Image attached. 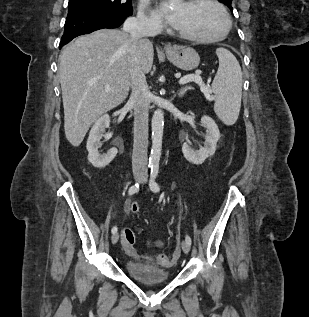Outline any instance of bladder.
<instances>
[{
	"instance_id": "bladder-1",
	"label": "bladder",
	"mask_w": 309,
	"mask_h": 317,
	"mask_svg": "<svg viewBox=\"0 0 309 317\" xmlns=\"http://www.w3.org/2000/svg\"><path fill=\"white\" fill-rule=\"evenodd\" d=\"M125 270L133 280L144 285L164 284L169 280V272L166 269L135 260H128Z\"/></svg>"
}]
</instances>
